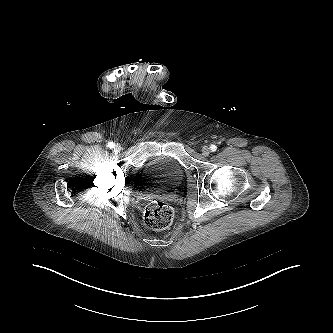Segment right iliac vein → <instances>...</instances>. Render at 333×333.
Masks as SVG:
<instances>
[{
	"instance_id": "1",
	"label": "right iliac vein",
	"mask_w": 333,
	"mask_h": 333,
	"mask_svg": "<svg viewBox=\"0 0 333 333\" xmlns=\"http://www.w3.org/2000/svg\"><path fill=\"white\" fill-rule=\"evenodd\" d=\"M121 150V145L120 144H116L115 146H114V151L115 152H119Z\"/></svg>"
}]
</instances>
